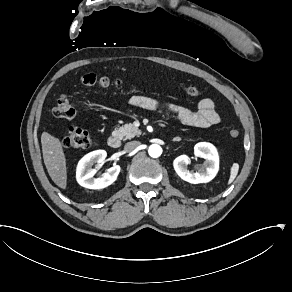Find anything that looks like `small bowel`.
<instances>
[{
  "label": "small bowel",
  "instance_id": "small-bowel-1",
  "mask_svg": "<svg viewBox=\"0 0 292 292\" xmlns=\"http://www.w3.org/2000/svg\"><path fill=\"white\" fill-rule=\"evenodd\" d=\"M129 102L131 105L138 108L176 116L182 123L192 127H209L220 121V116L215 109V104L209 98L200 100L196 110L160 102L143 95H134L130 98Z\"/></svg>",
  "mask_w": 292,
  "mask_h": 292
}]
</instances>
